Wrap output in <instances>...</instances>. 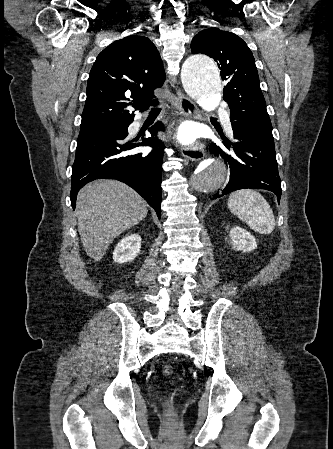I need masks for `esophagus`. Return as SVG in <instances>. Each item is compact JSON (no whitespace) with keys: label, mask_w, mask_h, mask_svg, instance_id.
Wrapping results in <instances>:
<instances>
[{"label":"esophagus","mask_w":333,"mask_h":449,"mask_svg":"<svg viewBox=\"0 0 333 449\" xmlns=\"http://www.w3.org/2000/svg\"><path fill=\"white\" fill-rule=\"evenodd\" d=\"M171 80L175 83V80L173 78ZM177 97L179 103V113L181 117L183 119L196 118L198 116V110L192 100L180 90H177ZM204 154V148L201 144L181 148V155L191 161L201 160L204 157Z\"/></svg>","instance_id":"34e87169"}]
</instances>
